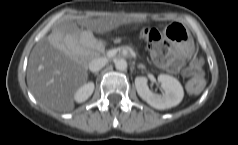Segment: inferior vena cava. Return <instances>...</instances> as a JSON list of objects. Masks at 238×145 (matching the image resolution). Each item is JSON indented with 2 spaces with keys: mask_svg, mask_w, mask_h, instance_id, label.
Masks as SVG:
<instances>
[{
  "mask_svg": "<svg viewBox=\"0 0 238 145\" xmlns=\"http://www.w3.org/2000/svg\"><path fill=\"white\" fill-rule=\"evenodd\" d=\"M107 64L106 58H96L89 63V70L91 72H98Z\"/></svg>",
  "mask_w": 238,
  "mask_h": 145,
  "instance_id": "inferior-vena-cava-1",
  "label": "inferior vena cava"
}]
</instances>
